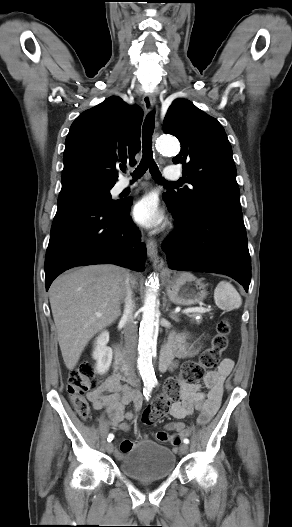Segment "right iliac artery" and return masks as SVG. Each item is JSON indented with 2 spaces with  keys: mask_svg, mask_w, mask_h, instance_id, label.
<instances>
[{
  "mask_svg": "<svg viewBox=\"0 0 292 527\" xmlns=\"http://www.w3.org/2000/svg\"><path fill=\"white\" fill-rule=\"evenodd\" d=\"M152 388H153V385L151 384H148V385H145V388H144V391H143V394L145 396V398L148 400L149 399V396H150V393L152 391ZM114 439V434L110 433L108 435V441L111 442L112 440Z\"/></svg>",
  "mask_w": 292,
  "mask_h": 527,
  "instance_id": "obj_1",
  "label": "right iliac artery"
}]
</instances>
